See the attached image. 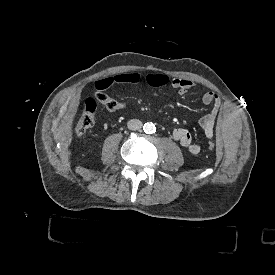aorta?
Wrapping results in <instances>:
<instances>
[{
    "mask_svg": "<svg viewBox=\"0 0 275 275\" xmlns=\"http://www.w3.org/2000/svg\"><path fill=\"white\" fill-rule=\"evenodd\" d=\"M155 130H156V127L152 122H147L143 126V131L146 134H153L155 132Z\"/></svg>",
    "mask_w": 275,
    "mask_h": 275,
    "instance_id": "obj_1",
    "label": "aorta"
}]
</instances>
